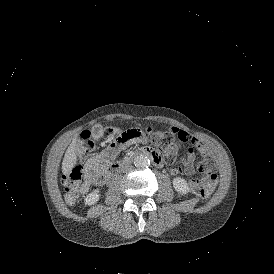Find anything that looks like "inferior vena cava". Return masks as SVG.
I'll use <instances>...</instances> for the list:
<instances>
[{
  "mask_svg": "<svg viewBox=\"0 0 274 274\" xmlns=\"http://www.w3.org/2000/svg\"><path fill=\"white\" fill-rule=\"evenodd\" d=\"M129 169H131V165H129V167H128Z\"/></svg>",
  "mask_w": 274,
  "mask_h": 274,
  "instance_id": "1",
  "label": "inferior vena cava"
}]
</instances>
